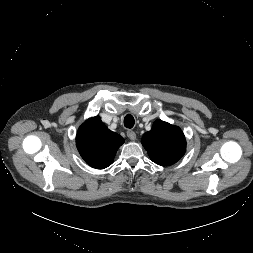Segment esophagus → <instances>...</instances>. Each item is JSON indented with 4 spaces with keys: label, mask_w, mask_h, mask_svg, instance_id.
Returning a JSON list of instances; mask_svg holds the SVG:
<instances>
[{
    "label": "esophagus",
    "mask_w": 253,
    "mask_h": 253,
    "mask_svg": "<svg viewBox=\"0 0 253 253\" xmlns=\"http://www.w3.org/2000/svg\"><path fill=\"white\" fill-rule=\"evenodd\" d=\"M127 137L130 139V140H132V141H134V140H136V133L134 132V131H132V130H128L127 131Z\"/></svg>",
    "instance_id": "esophagus-1"
}]
</instances>
